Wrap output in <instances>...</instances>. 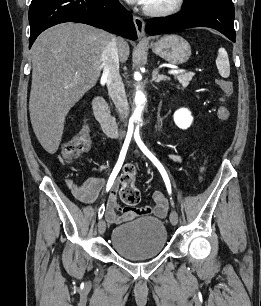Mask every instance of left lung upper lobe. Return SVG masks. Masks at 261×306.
<instances>
[{"label":"left lung upper lobe","mask_w":261,"mask_h":306,"mask_svg":"<svg viewBox=\"0 0 261 306\" xmlns=\"http://www.w3.org/2000/svg\"><path fill=\"white\" fill-rule=\"evenodd\" d=\"M200 1H204V0H184V6H190Z\"/></svg>","instance_id":"5c2ea615"}]
</instances>
